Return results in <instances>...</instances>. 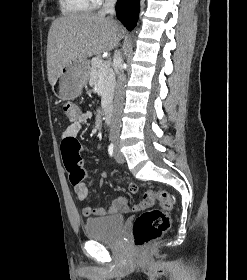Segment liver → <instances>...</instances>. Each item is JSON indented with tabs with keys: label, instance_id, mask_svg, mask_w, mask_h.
I'll list each match as a JSON object with an SVG mask.
<instances>
[{
	"label": "liver",
	"instance_id": "obj_1",
	"mask_svg": "<svg viewBox=\"0 0 247 280\" xmlns=\"http://www.w3.org/2000/svg\"><path fill=\"white\" fill-rule=\"evenodd\" d=\"M122 35L119 23L105 15L84 13L53 21L47 40L48 81L53 85L63 67L111 51Z\"/></svg>",
	"mask_w": 247,
	"mask_h": 280
}]
</instances>
